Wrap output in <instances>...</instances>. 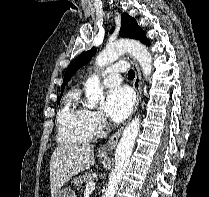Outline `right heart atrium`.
Returning a JSON list of instances; mask_svg holds the SVG:
<instances>
[{"label":"right heart atrium","mask_w":209,"mask_h":197,"mask_svg":"<svg viewBox=\"0 0 209 197\" xmlns=\"http://www.w3.org/2000/svg\"><path fill=\"white\" fill-rule=\"evenodd\" d=\"M90 124L94 134H99L105 127L106 121L98 111H90Z\"/></svg>","instance_id":"obj_1"}]
</instances>
